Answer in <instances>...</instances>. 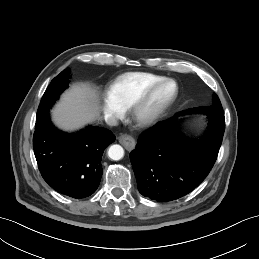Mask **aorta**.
Listing matches in <instances>:
<instances>
[{
  "instance_id": "aorta-1",
  "label": "aorta",
  "mask_w": 259,
  "mask_h": 259,
  "mask_svg": "<svg viewBox=\"0 0 259 259\" xmlns=\"http://www.w3.org/2000/svg\"><path fill=\"white\" fill-rule=\"evenodd\" d=\"M108 156L112 160H115V161L120 160L124 156V150L118 144L112 145V146H110V148L108 150Z\"/></svg>"
}]
</instances>
